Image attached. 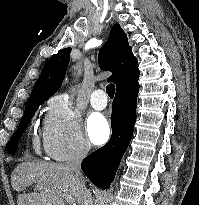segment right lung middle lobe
Masks as SVG:
<instances>
[{"label":"right lung middle lobe","instance_id":"dd1d6c3e","mask_svg":"<svg viewBox=\"0 0 199 205\" xmlns=\"http://www.w3.org/2000/svg\"><path fill=\"white\" fill-rule=\"evenodd\" d=\"M46 100L47 99H37V100L29 101L26 104V108H25L24 114L22 116L20 125H19L17 131L15 132V134L10 139V142H9V145L7 148V152L9 154H15V152L17 151V148H18V142H19L22 134L25 132L28 124L30 123L31 118L35 114L39 105H41Z\"/></svg>","mask_w":199,"mask_h":205}]
</instances>
